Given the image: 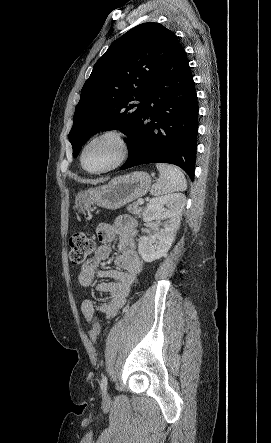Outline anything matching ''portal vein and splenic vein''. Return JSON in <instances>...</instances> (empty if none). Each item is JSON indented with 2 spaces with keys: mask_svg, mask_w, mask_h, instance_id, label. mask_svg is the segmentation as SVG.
<instances>
[{
  "mask_svg": "<svg viewBox=\"0 0 271 443\" xmlns=\"http://www.w3.org/2000/svg\"><path fill=\"white\" fill-rule=\"evenodd\" d=\"M138 204H144V200H137Z\"/></svg>",
  "mask_w": 271,
  "mask_h": 443,
  "instance_id": "obj_1",
  "label": "portal vein and splenic vein"
}]
</instances>
